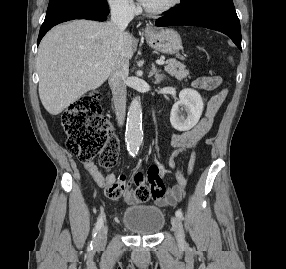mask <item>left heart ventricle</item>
Listing matches in <instances>:
<instances>
[{
	"label": "left heart ventricle",
	"instance_id": "b2bd125f",
	"mask_svg": "<svg viewBox=\"0 0 286 269\" xmlns=\"http://www.w3.org/2000/svg\"><path fill=\"white\" fill-rule=\"evenodd\" d=\"M169 0H147L144 4V6L149 7V8H157L165 3H167Z\"/></svg>",
	"mask_w": 286,
	"mask_h": 269
}]
</instances>
